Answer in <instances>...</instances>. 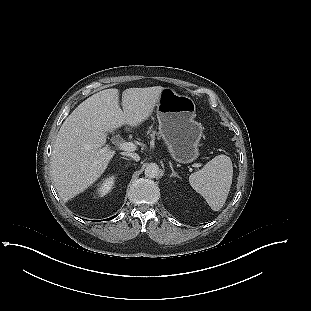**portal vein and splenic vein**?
<instances>
[{
  "mask_svg": "<svg viewBox=\"0 0 311 311\" xmlns=\"http://www.w3.org/2000/svg\"><path fill=\"white\" fill-rule=\"evenodd\" d=\"M118 148L124 151H134L136 150V145L133 144L132 142H124L118 144ZM105 149H107V147H105Z\"/></svg>",
  "mask_w": 311,
  "mask_h": 311,
  "instance_id": "portal-vein-and-splenic-vein-1",
  "label": "portal vein and splenic vein"
}]
</instances>
